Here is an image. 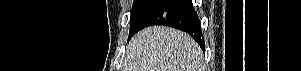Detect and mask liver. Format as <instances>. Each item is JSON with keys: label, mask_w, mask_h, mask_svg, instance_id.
Here are the masks:
<instances>
[{"label": "liver", "mask_w": 301, "mask_h": 71, "mask_svg": "<svg viewBox=\"0 0 301 71\" xmlns=\"http://www.w3.org/2000/svg\"><path fill=\"white\" fill-rule=\"evenodd\" d=\"M125 71H204L203 52L188 34L153 26L129 42Z\"/></svg>", "instance_id": "liver-1"}]
</instances>
